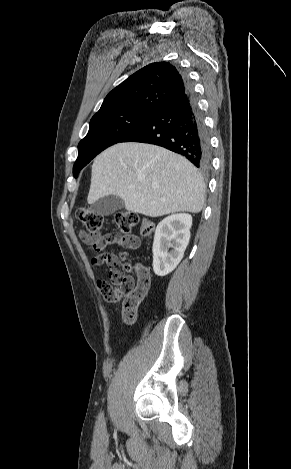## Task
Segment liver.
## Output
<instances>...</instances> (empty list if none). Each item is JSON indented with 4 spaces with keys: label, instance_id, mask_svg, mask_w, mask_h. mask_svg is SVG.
Instances as JSON below:
<instances>
[{
    "label": "liver",
    "instance_id": "obj_1",
    "mask_svg": "<svg viewBox=\"0 0 291 469\" xmlns=\"http://www.w3.org/2000/svg\"><path fill=\"white\" fill-rule=\"evenodd\" d=\"M205 191L201 174L184 157L155 145L118 143L95 158L87 202L116 195L126 210L158 217L199 213Z\"/></svg>",
    "mask_w": 291,
    "mask_h": 469
}]
</instances>
